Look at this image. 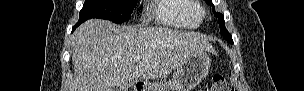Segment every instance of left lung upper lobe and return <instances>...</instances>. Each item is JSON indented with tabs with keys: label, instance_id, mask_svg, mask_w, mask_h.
Instances as JSON below:
<instances>
[{
	"label": "left lung upper lobe",
	"instance_id": "obj_1",
	"mask_svg": "<svg viewBox=\"0 0 304 91\" xmlns=\"http://www.w3.org/2000/svg\"><path fill=\"white\" fill-rule=\"evenodd\" d=\"M206 2L210 5H213L212 4V0H206ZM213 11H214V7H213ZM214 14L216 15V17L218 18V23H219V26H220V31H221V35L230 43H233V40H232V36L231 34L227 31L226 27H225V21H224V18H223V15L220 14V13H216L214 11Z\"/></svg>",
	"mask_w": 304,
	"mask_h": 91
}]
</instances>
